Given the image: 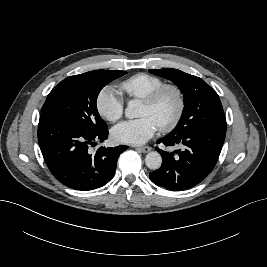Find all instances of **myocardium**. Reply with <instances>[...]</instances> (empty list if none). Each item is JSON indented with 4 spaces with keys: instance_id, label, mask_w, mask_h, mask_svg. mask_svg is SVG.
Here are the masks:
<instances>
[{
    "instance_id": "myocardium-1",
    "label": "myocardium",
    "mask_w": 267,
    "mask_h": 267,
    "mask_svg": "<svg viewBox=\"0 0 267 267\" xmlns=\"http://www.w3.org/2000/svg\"><path fill=\"white\" fill-rule=\"evenodd\" d=\"M167 91H172L176 95L177 110L172 119L168 123L159 127V130L163 133L173 130L178 125L183 116L185 110V96L182 89L176 84H163L162 86L158 87L153 92H151L147 97L142 99V103L152 107L159 102L163 94Z\"/></svg>"
}]
</instances>
